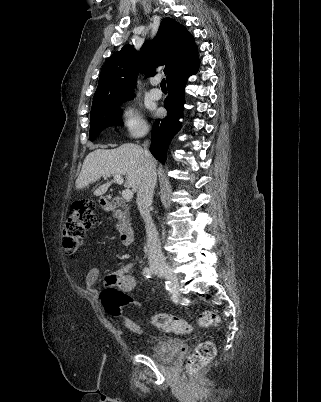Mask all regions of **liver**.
<instances>
[{"label": "liver", "mask_w": 321, "mask_h": 402, "mask_svg": "<svg viewBox=\"0 0 321 402\" xmlns=\"http://www.w3.org/2000/svg\"><path fill=\"white\" fill-rule=\"evenodd\" d=\"M156 164V162L154 161ZM144 171V150L139 145L125 143L114 149H95L90 152L84 162L76 180V189L83 190L100 180L105 175H125L127 188L138 191ZM110 183L101 185L94 195L106 193Z\"/></svg>", "instance_id": "6515ba94"}]
</instances>
